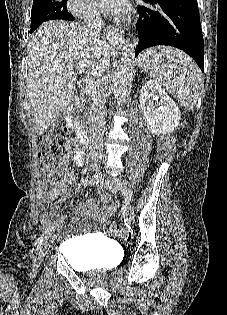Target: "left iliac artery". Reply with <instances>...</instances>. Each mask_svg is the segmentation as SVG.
Here are the masks:
<instances>
[{"instance_id":"1","label":"left iliac artery","mask_w":227,"mask_h":315,"mask_svg":"<svg viewBox=\"0 0 227 315\" xmlns=\"http://www.w3.org/2000/svg\"><path fill=\"white\" fill-rule=\"evenodd\" d=\"M114 180H115V183H116L117 185H120V180H119V179H115V178H114ZM123 184L127 185L126 182H123ZM123 192H124L125 200H126V201H131L132 198H133V193H129V192H127L126 190H123Z\"/></svg>"}]
</instances>
